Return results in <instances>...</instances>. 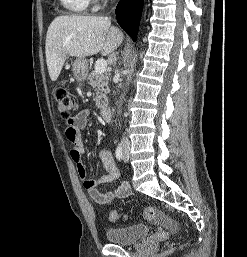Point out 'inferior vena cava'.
<instances>
[{
	"mask_svg": "<svg viewBox=\"0 0 247 257\" xmlns=\"http://www.w3.org/2000/svg\"><path fill=\"white\" fill-rule=\"evenodd\" d=\"M122 142H123L124 147H129L130 146V142H129L127 137L123 136Z\"/></svg>",
	"mask_w": 247,
	"mask_h": 257,
	"instance_id": "obj_1",
	"label": "inferior vena cava"
}]
</instances>
